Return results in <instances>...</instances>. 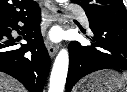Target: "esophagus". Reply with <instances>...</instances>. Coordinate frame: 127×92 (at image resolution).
<instances>
[{
  "instance_id": "esophagus-1",
  "label": "esophagus",
  "mask_w": 127,
  "mask_h": 92,
  "mask_svg": "<svg viewBox=\"0 0 127 92\" xmlns=\"http://www.w3.org/2000/svg\"><path fill=\"white\" fill-rule=\"evenodd\" d=\"M45 7L49 10V11H54V6L52 4V1L51 0H46L45 1ZM46 47H47V50H48V53L50 55V57H54L55 54L57 53V50H58V46L51 43L49 40L47 41L46 43Z\"/></svg>"
}]
</instances>
